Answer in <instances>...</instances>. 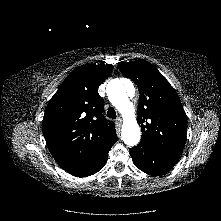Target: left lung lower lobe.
<instances>
[{"mask_svg":"<svg viewBox=\"0 0 221 221\" xmlns=\"http://www.w3.org/2000/svg\"><path fill=\"white\" fill-rule=\"evenodd\" d=\"M129 153L137 168L153 176L165 174L180 159V155L161 151L143 142L129 149Z\"/></svg>","mask_w":221,"mask_h":221,"instance_id":"1","label":"left lung lower lobe"}]
</instances>
